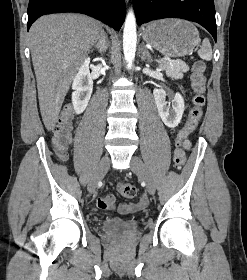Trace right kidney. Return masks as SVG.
I'll list each match as a JSON object with an SVG mask.
<instances>
[{"mask_svg":"<svg viewBox=\"0 0 247 280\" xmlns=\"http://www.w3.org/2000/svg\"><path fill=\"white\" fill-rule=\"evenodd\" d=\"M90 59L86 58L76 74L72 89V103L77 114H81L87 107L93 90V80L89 71Z\"/></svg>","mask_w":247,"mask_h":280,"instance_id":"1","label":"right kidney"}]
</instances>
